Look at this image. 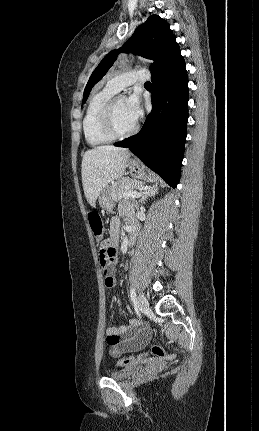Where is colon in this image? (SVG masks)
Listing matches in <instances>:
<instances>
[{
    "mask_svg": "<svg viewBox=\"0 0 259 431\" xmlns=\"http://www.w3.org/2000/svg\"><path fill=\"white\" fill-rule=\"evenodd\" d=\"M89 223L91 230L93 232L94 237L97 240L98 249H99V258L101 266L110 267L116 257V248L111 245V243L107 239H103L104 235V223L100 214L96 212L89 213ZM119 336L115 332L107 333V342L110 345H114L118 342ZM152 355L158 358L170 359L173 357V354L168 352L161 346L153 345L150 347L148 352L142 353L136 356H129L119 358L117 360V364L120 366H131L134 364H138L142 362V360L147 356Z\"/></svg>",
    "mask_w": 259,
    "mask_h": 431,
    "instance_id": "colon-1",
    "label": "colon"
}]
</instances>
